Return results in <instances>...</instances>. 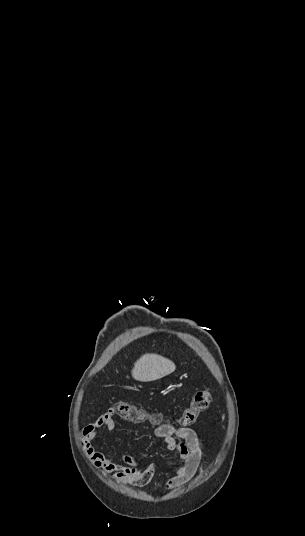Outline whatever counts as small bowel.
<instances>
[{"mask_svg": "<svg viewBox=\"0 0 305 536\" xmlns=\"http://www.w3.org/2000/svg\"><path fill=\"white\" fill-rule=\"evenodd\" d=\"M112 411H103L101 419L84 425L78 433L83 450L91 464L98 468L103 475L109 474V478L117 483H129L142 487L147 485L153 478L158 465L151 463L146 467L142 462L130 455H122L120 462L114 457L97 449V443L101 434L97 432L104 426H115ZM154 436L162 441L167 450L177 451L181 459L175 474L167 481L165 488L173 490L187 483L197 472H201V464L204 458V443L198 434L189 427H156Z\"/></svg>", "mask_w": 305, "mask_h": 536, "instance_id": "small-bowel-1", "label": "small bowel"}]
</instances>
